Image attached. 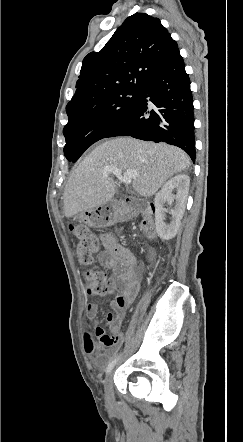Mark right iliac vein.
I'll list each match as a JSON object with an SVG mask.
<instances>
[{"instance_id": "1", "label": "right iliac vein", "mask_w": 243, "mask_h": 442, "mask_svg": "<svg viewBox=\"0 0 243 442\" xmlns=\"http://www.w3.org/2000/svg\"><path fill=\"white\" fill-rule=\"evenodd\" d=\"M113 373L110 372L104 381V398L105 402L109 407L114 406V392L112 384Z\"/></svg>"}]
</instances>
